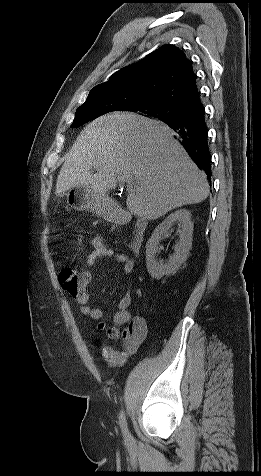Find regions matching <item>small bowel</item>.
Returning a JSON list of instances; mask_svg holds the SVG:
<instances>
[{
	"label": "small bowel",
	"mask_w": 261,
	"mask_h": 476,
	"mask_svg": "<svg viewBox=\"0 0 261 476\" xmlns=\"http://www.w3.org/2000/svg\"><path fill=\"white\" fill-rule=\"evenodd\" d=\"M93 250L86 257V265L92 266L96 261L106 258H113L121 263L125 274H131L134 269V263L130 257L122 253H116L108 248L101 237L95 236L92 239ZM88 281L75 294H71L74 300L79 304L82 314L89 316L94 320L102 317V311L98 307H92L88 304L89 292L86 287L90 281V274L82 272ZM131 303V293L127 290L118 303V310L114 316V323L117 327H123V349L116 350L108 344L100 347L99 354L101 360L110 367L123 365L138 349L147 335V323L143 317H132L128 308ZM116 334L117 331H114Z\"/></svg>",
	"instance_id": "small-bowel-1"
}]
</instances>
